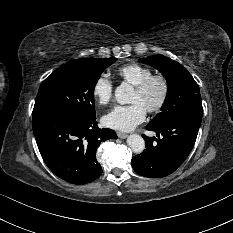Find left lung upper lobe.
<instances>
[{"label": "left lung upper lobe", "instance_id": "5c2ea615", "mask_svg": "<svg viewBox=\"0 0 233 233\" xmlns=\"http://www.w3.org/2000/svg\"><path fill=\"white\" fill-rule=\"evenodd\" d=\"M158 69L168 85L167 96L154 119L148 124L152 127L162 126L177 116L194 107H202L199 86L191 74L178 62L161 55L140 59Z\"/></svg>", "mask_w": 233, "mask_h": 233}]
</instances>
